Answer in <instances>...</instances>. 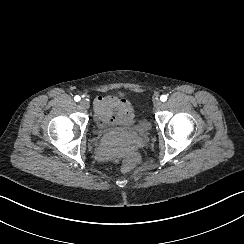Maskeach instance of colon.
<instances>
[{"label": "colon", "instance_id": "5ec220e1", "mask_svg": "<svg viewBox=\"0 0 244 244\" xmlns=\"http://www.w3.org/2000/svg\"><path fill=\"white\" fill-rule=\"evenodd\" d=\"M121 168L124 171H131L134 168V162L131 159H124L121 162Z\"/></svg>", "mask_w": 244, "mask_h": 244}]
</instances>
